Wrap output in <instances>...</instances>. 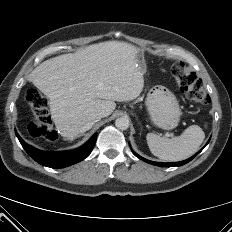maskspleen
<instances>
[{"instance_id":"spleen-1","label":"spleen","mask_w":232,"mask_h":232,"mask_svg":"<svg viewBox=\"0 0 232 232\" xmlns=\"http://www.w3.org/2000/svg\"><path fill=\"white\" fill-rule=\"evenodd\" d=\"M205 138L198 125L189 126L180 136L171 139L154 133L146 136L151 153L164 161H180L194 154Z\"/></svg>"}]
</instances>
